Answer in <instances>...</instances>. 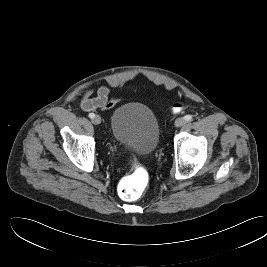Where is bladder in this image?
Instances as JSON below:
<instances>
[{
	"instance_id": "bladder-1",
	"label": "bladder",
	"mask_w": 267,
	"mask_h": 267,
	"mask_svg": "<svg viewBox=\"0 0 267 267\" xmlns=\"http://www.w3.org/2000/svg\"><path fill=\"white\" fill-rule=\"evenodd\" d=\"M112 138L140 157L149 156L160 140V124L155 113L140 102L119 106L111 118Z\"/></svg>"
}]
</instances>
